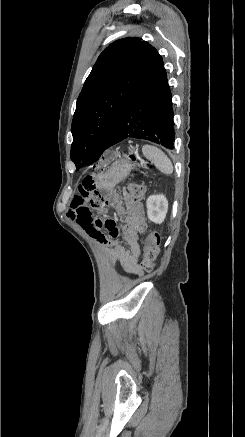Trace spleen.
<instances>
[{
  "mask_svg": "<svg viewBox=\"0 0 245 437\" xmlns=\"http://www.w3.org/2000/svg\"><path fill=\"white\" fill-rule=\"evenodd\" d=\"M142 152L147 159L154 162L155 166L165 174L173 173V165L167 155L159 148L146 144L142 147Z\"/></svg>",
  "mask_w": 245,
  "mask_h": 437,
  "instance_id": "spleen-1",
  "label": "spleen"
}]
</instances>
